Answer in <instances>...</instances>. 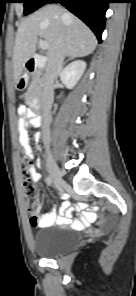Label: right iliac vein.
<instances>
[{
    "instance_id": "63e3f726",
    "label": "right iliac vein",
    "mask_w": 136,
    "mask_h": 296,
    "mask_svg": "<svg viewBox=\"0 0 136 296\" xmlns=\"http://www.w3.org/2000/svg\"><path fill=\"white\" fill-rule=\"evenodd\" d=\"M46 164L53 185L56 188L66 187V183L63 181L61 177L60 170L51 155H48Z\"/></svg>"
}]
</instances>
